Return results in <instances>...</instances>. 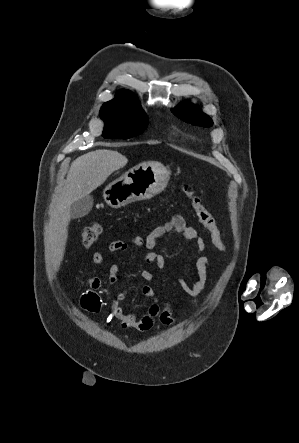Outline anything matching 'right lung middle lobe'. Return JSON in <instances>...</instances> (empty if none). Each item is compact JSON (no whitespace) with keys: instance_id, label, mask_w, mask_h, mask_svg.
<instances>
[{"instance_id":"obj_1","label":"right lung middle lobe","mask_w":299,"mask_h":443,"mask_svg":"<svg viewBox=\"0 0 299 443\" xmlns=\"http://www.w3.org/2000/svg\"><path fill=\"white\" fill-rule=\"evenodd\" d=\"M100 116L105 122L102 136L106 139H128L140 135L148 123L141 108L121 104H104Z\"/></svg>"}]
</instances>
